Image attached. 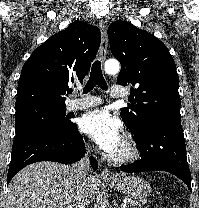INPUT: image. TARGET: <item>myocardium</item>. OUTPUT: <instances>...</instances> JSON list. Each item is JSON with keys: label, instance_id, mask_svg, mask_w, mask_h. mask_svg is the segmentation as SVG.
<instances>
[{"label": "myocardium", "instance_id": "f54148a6", "mask_svg": "<svg viewBox=\"0 0 199 208\" xmlns=\"http://www.w3.org/2000/svg\"><path fill=\"white\" fill-rule=\"evenodd\" d=\"M123 144L126 148V153L121 156L109 154V162L116 165H127L139 159L141 154L140 147L132 136L125 135L123 138Z\"/></svg>", "mask_w": 199, "mask_h": 208}]
</instances>
